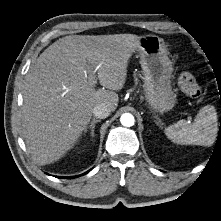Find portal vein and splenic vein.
<instances>
[{"instance_id":"obj_1","label":"portal vein and splenic vein","mask_w":221,"mask_h":221,"mask_svg":"<svg viewBox=\"0 0 221 221\" xmlns=\"http://www.w3.org/2000/svg\"><path fill=\"white\" fill-rule=\"evenodd\" d=\"M96 73V69L93 71V76L91 77L93 80L91 81V85L95 86V84L97 83V81L94 79V74Z\"/></svg>"}]
</instances>
